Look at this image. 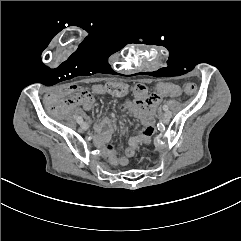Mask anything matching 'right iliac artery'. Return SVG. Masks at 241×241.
Listing matches in <instances>:
<instances>
[{
    "mask_svg": "<svg viewBox=\"0 0 241 241\" xmlns=\"http://www.w3.org/2000/svg\"><path fill=\"white\" fill-rule=\"evenodd\" d=\"M77 122H78L79 124H81V123L83 122V119H82L81 116H78V117H77Z\"/></svg>",
    "mask_w": 241,
    "mask_h": 241,
    "instance_id": "82829eb1",
    "label": "right iliac artery"
}]
</instances>
